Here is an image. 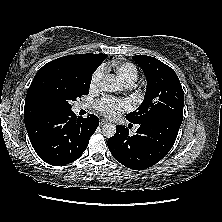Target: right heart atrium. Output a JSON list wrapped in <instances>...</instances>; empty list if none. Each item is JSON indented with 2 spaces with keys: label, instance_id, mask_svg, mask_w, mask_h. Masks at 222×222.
Returning a JSON list of instances; mask_svg holds the SVG:
<instances>
[{
  "label": "right heart atrium",
  "instance_id": "d8ad5b80",
  "mask_svg": "<svg viewBox=\"0 0 222 222\" xmlns=\"http://www.w3.org/2000/svg\"><path fill=\"white\" fill-rule=\"evenodd\" d=\"M102 78H103V70L102 69L96 70L91 78V84H90L91 88L92 89L97 88L99 86Z\"/></svg>",
  "mask_w": 222,
  "mask_h": 222
}]
</instances>
